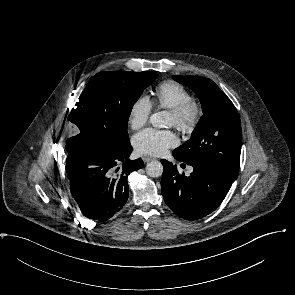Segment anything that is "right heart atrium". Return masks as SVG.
Listing matches in <instances>:
<instances>
[{"instance_id": "d8ad5b80", "label": "right heart atrium", "mask_w": 295, "mask_h": 295, "mask_svg": "<svg viewBox=\"0 0 295 295\" xmlns=\"http://www.w3.org/2000/svg\"><path fill=\"white\" fill-rule=\"evenodd\" d=\"M152 103L147 95L140 94L131 103L128 111V124L134 129L142 128L149 120Z\"/></svg>"}]
</instances>
